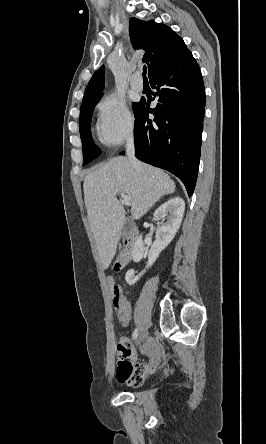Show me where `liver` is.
Instances as JSON below:
<instances>
[{
  "mask_svg": "<svg viewBox=\"0 0 266 444\" xmlns=\"http://www.w3.org/2000/svg\"><path fill=\"white\" fill-rule=\"evenodd\" d=\"M175 183L162 170L126 157H115L84 179V200L103 269L115 256L125 223L118 193L131 197V213L140 219L163 196L175 191Z\"/></svg>",
  "mask_w": 266,
  "mask_h": 444,
  "instance_id": "6515ba94",
  "label": "liver"
}]
</instances>
